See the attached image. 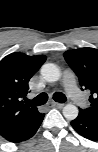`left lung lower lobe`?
<instances>
[{
    "label": "left lung lower lobe",
    "mask_w": 98,
    "mask_h": 152,
    "mask_svg": "<svg viewBox=\"0 0 98 152\" xmlns=\"http://www.w3.org/2000/svg\"><path fill=\"white\" fill-rule=\"evenodd\" d=\"M71 125L81 136L93 141L98 140V119L79 112L78 117L71 121Z\"/></svg>",
    "instance_id": "0a47b994"
}]
</instances>
